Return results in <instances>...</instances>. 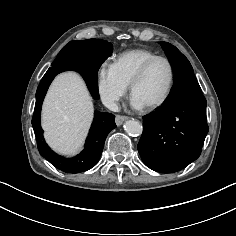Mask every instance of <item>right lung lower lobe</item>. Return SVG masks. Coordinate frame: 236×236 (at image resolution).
I'll list each match as a JSON object with an SVG mask.
<instances>
[{"mask_svg": "<svg viewBox=\"0 0 236 236\" xmlns=\"http://www.w3.org/2000/svg\"><path fill=\"white\" fill-rule=\"evenodd\" d=\"M112 44L102 40H75L69 42L57 56V61L43 76L36 92V104L32 125L37 147L41 156L59 170L66 173H79L94 167L103 150L104 142L111 130L116 127L115 116L111 113L95 112L84 150L74 158H64L53 152L46 144L40 125L43 99L54 77L66 70L79 72L96 100L99 98L97 73L102 63L112 54Z\"/></svg>", "mask_w": 236, "mask_h": 236, "instance_id": "98d812e1", "label": "right lung lower lobe"}]
</instances>
